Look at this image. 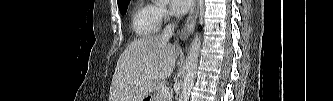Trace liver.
<instances>
[{
  "label": "liver",
  "instance_id": "obj_1",
  "mask_svg": "<svg viewBox=\"0 0 333 101\" xmlns=\"http://www.w3.org/2000/svg\"><path fill=\"white\" fill-rule=\"evenodd\" d=\"M178 52L161 36L134 40L117 61L109 101H143L172 74Z\"/></svg>",
  "mask_w": 333,
  "mask_h": 101
}]
</instances>
